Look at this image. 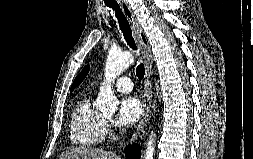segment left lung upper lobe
<instances>
[{"label": "left lung upper lobe", "instance_id": "obj_1", "mask_svg": "<svg viewBox=\"0 0 253 159\" xmlns=\"http://www.w3.org/2000/svg\"><path fill=\"white\" fill-rule=\"evenodd\" d=\"M89 71V65H86L84 69L81 71V73L75 78L73 85L71 87V92L74 90L76 86H78L82 80L86 77Z\"/></svg>", "mask_w": 253, "mask_h": 159}]
</instances>
